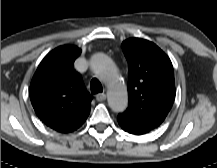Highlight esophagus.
I'll return each instance as SVG.
<instances>
[{"mask_svg":"<svg viewBox=\"0 0 217 168\" xmlns=\"http://www.w3.org/2000/svg\"><path fill=\"white\" fill-rule=\"evenodd\" d=\"M96 100L98 102H102L106 99V94L105 93H98L96 96H95Z\"/></svg>","mask_w":217,"mask_h":168,"instance_id":"esophagus-1","label":"esophagus"}]
</instances>
